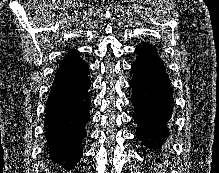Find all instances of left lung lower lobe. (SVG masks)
Segmentation results:
<instances>
[{
  "mask_svg": "<svg viewBox=\"0 0 219 173\" xmlns=\"http://www.w3.org/2000/svg\"><path fill=\"white\" fill-rule=\"evenodd\" d=\"M132 65L130 82L133 118L138 128L136 136L146 148L160 150L168 136V121L172 114V91L165 66L154 46L141 42Z\"/></svg>",
  "mask_w": 219,
  "mask_h": 173,
  "instance_id": "1",
  "label": "left lung lower lobe"
}]
</instances>
